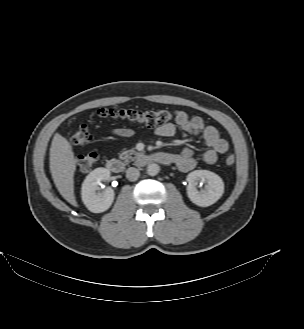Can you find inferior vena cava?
Wrapping results in <instances>:
<instances>
[{"label":"inferior vena cava","mask_w":304,"mask_h":329,"mask_svg":"<svg viewBox=\"0 0 304 329\" xmlns=\"http://www.w3.org/2000/svg\"><path fill=\"white\" fill-rule=\"evenodd\" d=\"M140 176V172L135 167H130L126 170V177L130 181H136Z\"/></svg>","instance_id":"1"}]
</instances>
